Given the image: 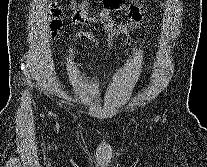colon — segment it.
I'll return each mask as SVG.
<instances>
[{
	"label": "colon",
	"mask_w": 207,
	"mask_h": 167,
	"mask_svg": "<svg viewBox=\"0 0 207 167\" xmlns=\"http://www.w3.org/2000/svg\"><path fill=\"white\" fill-rule=\"evenodd\" d=\"M51 17L50 28L53 31V34H56L63 24V15L61 10L58 7H53Z\"/></svg>",
	"instance_id": "obj_1"
}]
</instances>
